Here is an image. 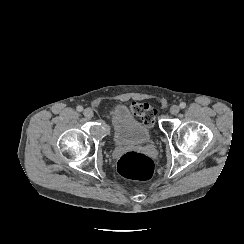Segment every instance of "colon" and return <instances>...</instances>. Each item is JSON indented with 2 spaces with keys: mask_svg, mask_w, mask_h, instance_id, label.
<instances>
[{
  "mask_svg": "<svg viewBox=\"0 0 244 244\" xmlns=\"http://www.w3.org/2000/svg\"><path fill=\"white\" fill-rule=\"evenodd\" d=\"M132 113L140 116L147 128L154 126L156 117L154 110L147 109L144 105L135 103L132 106ZM118 169L125 178L147 181L153 177L154 162L147 155L127 152L120 157Z\"/></svg>",
  "mask_w": 244,
  "mask_h": 244,
  "instance_id": "obj_1",
  "label": "colon"
}]
</instances>
